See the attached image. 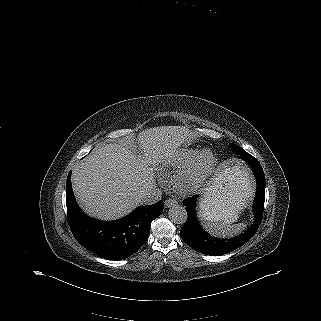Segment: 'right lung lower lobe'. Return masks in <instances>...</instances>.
I'll return each instance as SVG.
<instances>
[{
	"mask_svg": "<svg viewBox=\"0 0 321 321\" xmlns=\"http://www.w3.org/2000/svg\"><path fill=\"white\" fill-rule=\"evenodd\" d=\"M66 206L68 222L77 241L100 257L120 260L137 252L147 241L151 222L162 213L164 203L159 201L149 206H140L115 221H99L84 214L77 205L69 172Z\"/></svg>",
	"mask_w": 321,
	"mask_h": 321,
	"instance_id": "obj_1",
	"label": "right lung lower lobe"
}]
</instances>
